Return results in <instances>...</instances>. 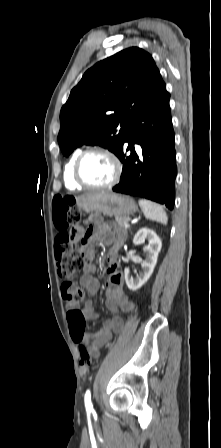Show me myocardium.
<instances>
[{
    "label": "myocardium",
    "mask_w": 221,
    "mask_h": 448,
    "mask_svg": "<svg viewBox=\"0 0 221 448\" xmlns=\"http://www.w3.org/2000/svg\"><path fill=\"white\" fill-rule=\"evenodd\" d=\"M94 153H100V154L107 156L113 164V169H114L113 178L106 184H103V185L90 184L83 178V176L81 174V166H82L83 161L89 155L94 154ZM72 175H73V179L75 180V182L78 183L79 185H81L82 187L89 188V189H108V188L114 187L119 182L121 175H122V163H121L120 159L118 158V156L113 151H111L107 148H103V147H94V148L87 149L80 153V155L77 157V159L75 160V163L73 165Z\"/></svg>",
    "instance_id": "f54148a6"
}]
</instances>
